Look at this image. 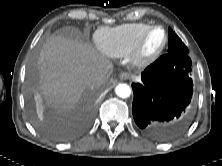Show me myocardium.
Segmentation results:
<instances>
[{
    "mask_svg": "<svg viewBox=\"0 0 222 166\" xmlns=\"http://www.w3.org/2000/svg\"><path fill=\"white\" fill-rule=\"evenodd\" d=\"M155 29L162 30L164 35L163 41L161 45L154 52L147 54L144 52V44L149 34ZM167 42H168V33L166 29L158 24L150 25L141 33L133 49L129 53L131 62L133 63V65L137 67H145L152 64L161 56L167 45Z\"/></svg>",
    "mask_w": 222,
    "mask_h": 166,
    "instance_id": "1",
    "label": "myocardium"
}]
</instances>
